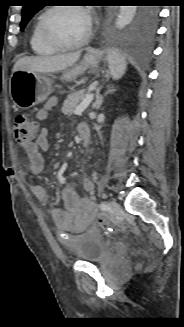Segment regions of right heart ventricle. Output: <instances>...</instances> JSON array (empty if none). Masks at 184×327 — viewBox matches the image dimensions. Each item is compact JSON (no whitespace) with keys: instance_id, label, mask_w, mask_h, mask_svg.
Masks as SVG:
<instances>
[{"instance_id":"1","label":"right heart ventricle","mask_w":184,"mask_h":327,"mask_svg":"<svg viewBox=\"0 0 184 327\" xmlns=\"http://www.w3.org/2000/svg\"><path fill=\"white\" fill-rule=\"evenodd\" d=\"M42 14L38 16L32 26L30 34V46L34 53L42 56H49L57 53L59 50L47 44L41 36L39 25Z\"/></svg>"}]
</instances>
